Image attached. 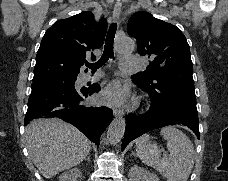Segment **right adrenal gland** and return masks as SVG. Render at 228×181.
<instances>
[{
  "mask_svg": "<svg viewBox=\"0 0 228 181\" xmlns=\"http://www.w3.org/2000/svg\"><path fill=\"white\" fill-rule=\"evenodd\" d=\"M88 161H90V157H87Z\"/></svg>",
  "mask_w": 228,
  "mask_h": 181,
  "instance_id": "right-adrenal-gland-1",
  "label": "right adrenal gland"
}]
</instances>
